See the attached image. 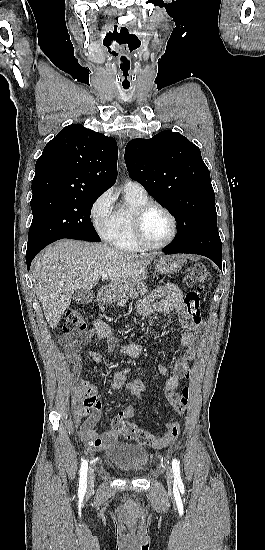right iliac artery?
<instances>
[{
	"mask_svg": "<svg viewBox=\"0 0 265 550\" xmlns=\"http://www.w3.org/2000/svg\"><path fill=\"white\" fill-rule=\"evenodd\" d=\"M87 470H88V462L87 460H84L81 464L80 468V479H79V495H84L87 488Z\"/></svg>",
	"mask_w": 265,
	"mask_h": 550,
	"instance_id": "obj_1",
	"label": "right iliac artery"
}]
</instances>
